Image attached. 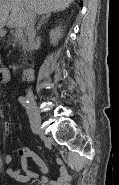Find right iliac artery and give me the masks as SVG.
Listing matches in <instances>:
<instances>
[{
  "label": "right iliac artery",
  "mask_w": 119,
  "mask_h": 185,
  "mask_svg": "<svg viewBox=\"0 0 119 185\" xmlns=\"http://www.w3.org/2000/svg\"><path fill=\"white\" fill-rule=\"evenodd\" d=\"M20 104L25 107L26 111H27V114L29 116V124H31V130L34 134H38V131H37V128L35 125L33 124H36V116H37V113H32V109L30 107V104H29V101L23 97V96H20L18 98Z\"/></svg>",
  "instance_id": "obj_1"
}]
</instances>
